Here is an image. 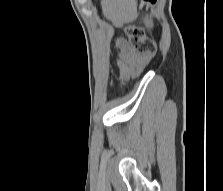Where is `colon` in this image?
Segmentation results:
<instances>
[{
    "instance_id": "5ec220e1",
    "label": "colon",
    "mask_w": 223,
    "mask_h": 191,
    "mask_svg": "<svg viewBox=\"0 0 223 191\" xmlns=\"http://www.w3.org/2000/svg\"><path fill=\"white\" fill-rule=\"evenodd\" d=\"M154 3L155 0L148 1ZM125 34L133 49L140 55L144 56L147 60L155 57L157 49L154 41L148 38L142 29L135 25H128L125 28Z\"/></svg>"
}]
</instances>
